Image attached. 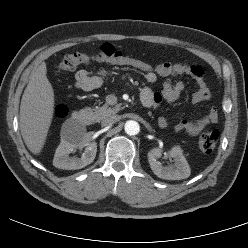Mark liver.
Wrapping results in <instances>:
<instances>
[{"label":"liver","instance_id":"liver-1","mask_svg":"<svg viewBox=\"0 0 248 248\" xmlns=\"http://www.w3.org/2000/svg\"><path fill=\"white\" fill-rule=\"evenodd\" d=\"M42 62L31 74L20 104V130L27 148L39 154L46 142L54 110V91Z\"/></svg>","mask_w":248,"mask_h":248}]
</instances>
